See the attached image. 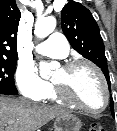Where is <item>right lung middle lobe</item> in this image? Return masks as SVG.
<instances>
[{
	"label": "right lung middle lobe",
	"instance_id": "right-lung-middle-lobe-1",
	"mask_svg": "<svg viewBox=\"0 0 117 131\" xmlns=\"http://www.w3.org/2000/svg\"><path fill=\"white\" fill-rule=\"evenodd\" d=\"M17 56L0 54V93L16 95L18 93L14 84V72Z\"/></svg>",
	"mask_w": 117,
	"mask_h": 131
}]
</instances>
